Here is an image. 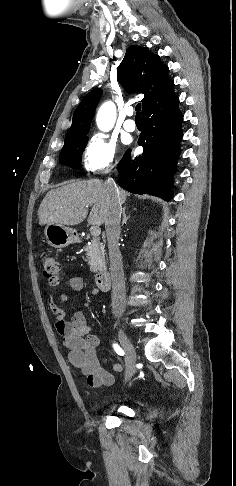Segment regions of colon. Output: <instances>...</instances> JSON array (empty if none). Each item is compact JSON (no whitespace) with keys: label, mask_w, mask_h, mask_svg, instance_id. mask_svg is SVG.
<instances>
[{"label":"colon","mask_w":236,"mask_h":486,"mask_svg":"<svg viewBox=\"0 0 236 486\" xmlns=\"http://www.w3.org/2000/svg\"><path fill=\"white\" fill-rule=\"evenodd\" d=\"M41 265L45 277L52 286H58L61 281L60 265L57 259L49 254H42Z\"/></svg>","instance_id":"obj_1"}]
</instances>
